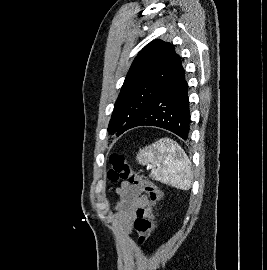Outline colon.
<instances>
[{
    "instance_id": "colon-1",
    "label": "colon",
    "mask_w": 267,
    "mask_h": 270,
    "mask_svg": "<svg viewBox=\"0 0 267 270\" xmlns=\"http://www.w3.org/2000/svg\"><path fill=\"white\" fill-rule=\"evenodd\" d=\"M110 167L107 173L110 182L127 181L140 187L147 195L150 201V207L156 209L162 199L160 189L147 179L144 175L132 169L127 159L118 153H114L109 158ZM153 219L145 212L141 211L134 222V230L137 235L138 243L143 245L147 243L153 231Z\"/></svg>"
}]
</instances>
